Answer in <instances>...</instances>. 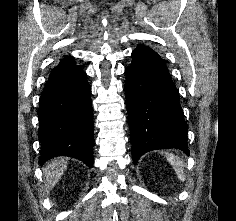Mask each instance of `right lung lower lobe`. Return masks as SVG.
<instances>
[{
    "instance_id": "obj_1",
    "label": "right lung lower lobe",
    "mask_w": 236,
    "mask_h": 221,
    "mask_svg": "<svg viewBox=\"0 0 236 221\" xmlns=\"http://www.w3.org/2000/svg\"><path fill=\"white\" fill-rule=\"evenodd\" d=\"M91 88L86 74L65 57L53 68L40 97L38 110L40 163L57 156L93 165Z\"/></svg>"
}]
</instances>
